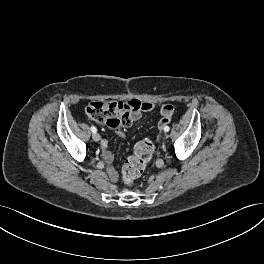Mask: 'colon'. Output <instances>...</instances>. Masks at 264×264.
<instances>
[{
    "instance_id": "1",
    "label": "colon",
    "mask_w": 264,
    "mask_h": 264,
    "mask_svg": "<svg viewBox=\"0 0 264 264\" xmlns=\"http://www.w3.org/2000/svg\"><path fill=\"white\" fill-rule=\"evenodd\" d=\"M87 115L94 121L107 124L109 127H127L132 120L130 110L122 102H91L86 107ZM167 123L161 119L159 129ZM153 153V144L148 139L140 140L134 148V153L125 161L122 178L125 184H132L144 171Z\"/></svg>"
}]
</instances>
